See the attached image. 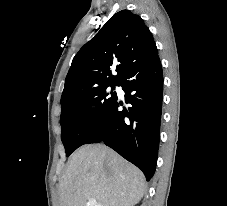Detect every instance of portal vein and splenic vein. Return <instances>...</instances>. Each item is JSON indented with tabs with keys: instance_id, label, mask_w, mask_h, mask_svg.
I'll list each match as a JSON object with an SVG mask.
<instances>
[{
	"instance_id": "18ae733b",
	"label": "portal vein and splenic vein",
	"mask_w": 227,
	"mask_h": 206,
	"mask_svg": "<svg viewBox=\"0 0 227 206\" xmlns=\"http://www.w3.org/2000/svg\"><path fill=\"white\" fill-rule=\"evenodd\" d=\"M87 206H101V205L98 204L96 199H89L88 202H87Z\"/></svg>"
}]
</instances>
